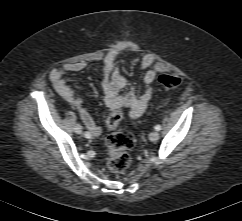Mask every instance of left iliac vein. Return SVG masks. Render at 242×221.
Returning <instances> with one entry per match:
<instances>
[{"instance_id":"left-iliac-vein-1","label":"left iliac vein","mask_w":242,"mask_h":221,"mask_svg":"<svg viewBox=\"0 0 242 221\" xmlns=\"http://www.w3.org/2000/svg\"><path fill=\"white\" fill-rule=\"evenodd\" d=\"M149 139L151 141H157L159 139V133L157 131H153L149 134Z\"/></svg>"}]
</instances>
